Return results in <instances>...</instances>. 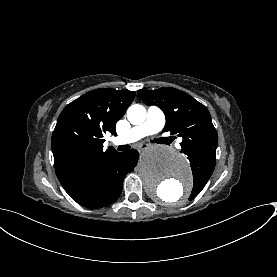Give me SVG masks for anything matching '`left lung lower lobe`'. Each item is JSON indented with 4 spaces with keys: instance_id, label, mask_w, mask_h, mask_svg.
<instances>
[{
    "instance_id": "left-lung-lower-lobe-1",
    "label": "left lung lower lobe",
    "mask_w": 277,
    "mask_h": 277,
    "mask_svg": "<svg viewBox=\"0 0 277 277\" xmlns=\"http://www.w3.org/2000/svg\"><path fill=\"white\" fill-rule=\"evenodd\" d=\"M200 153H202V155L199 156ZM215 155H216V148L214 147H205L199 150L189 152L187 154L190 162H193V158L201 157V158H207L208 160H211L214 166H215Z\"/></svg>"
}]
</instances>
